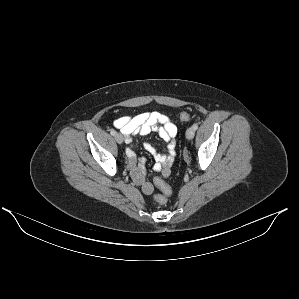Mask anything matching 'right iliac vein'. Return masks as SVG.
Returning a JSON list of instances; mask_svg holds the SVG:
<instances>
[{
	"label": "right iliac vein",
	"mask_w": 299,
	"mask_h": 299,
	"mask_svg": "<svg viewBox=\"0 0 299 299\" xmlns=\"http://www.w3.org/2000/svg\"><path fill=\"white\" fill-rule=\"evenodd\" d=\"M115 139H116L117 143H119V144H122L124 141V138L120 133L115 134Z\"/></svg>",
	"instance_id": "obj_1"
}]
</instances>
